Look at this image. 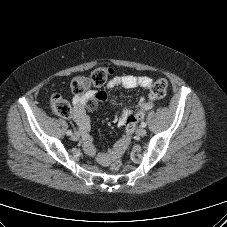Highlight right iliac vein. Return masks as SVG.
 Instances as JSON below:
<instances>
[{"instance_id":"1","label":"right iliac vein","mask_w":227,"mask_h":227,"mask_svg":"<svg viewBox=\"0 0 227 227\" xmlns=\"http://www.w3.org/2000/svg\"><path fill=\"white\" fill-rule=\"evenodd\" d=\"M79 138H80L79 132H74V133L71 135V139H72L73 141H77Z\"/></svg>"}]
</instances>
